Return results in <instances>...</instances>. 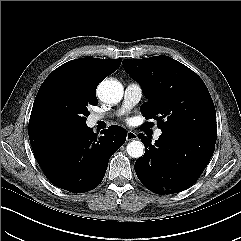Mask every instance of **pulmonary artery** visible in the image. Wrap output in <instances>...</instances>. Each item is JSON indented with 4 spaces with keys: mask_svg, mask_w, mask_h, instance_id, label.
Here are the masks:
<instances>
[{
    "mask_svg": "<svg viewBox=\"0 0 241 241\" xmlns=\"http://www.w3.org/2000/svg\"><path fill=\"white\" fill-rule=\"evenodd\" d=\"M142 93V87L138 83H129L124 91V100L120 109V113H123L135 106L140 101ZM102 119L103 116L99 114H92L89 118V121L91 124H95ZM161 133V130L157 129L154 133V137L156 139L159 138Z\"/></svg>",
    "mask_w": 241,
    "mask_h": 241,
    "instance_id": "1",
    "label": "pulmonary artery"
}]
</instances>
